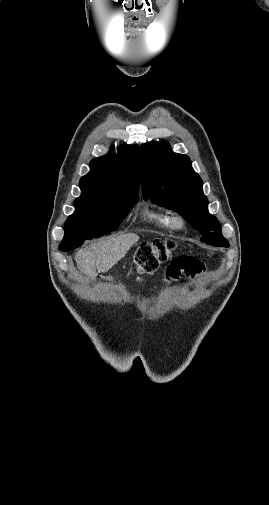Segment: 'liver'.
Instances as JSON below:
<instances>
[{
    "mask_svg": "<svg viewBox=\"0 0 269 505\" xmlns=\"http://www.w3.org/2000/svg\"><path fill=\"white\" fill-rule=\"evenodd\" d=\"M138 240V235L128 233L90 244L76 253L77 267L93 281L96 271H109Z\"/></svg>",
    "mask_w": 269,
    "mask_h": 505,
    "instance_id": "liver-1",
    "label": "liver"
}]
</instances>
